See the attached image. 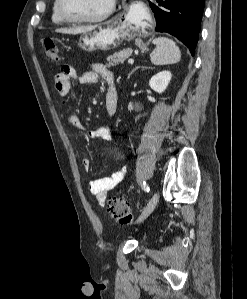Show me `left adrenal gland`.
Wrapping results in <instances>:
<instances>
[{"mask_svg":"<svg viewBox=\"0 0 247 299\" xmlns=\"http://www.w3.org/2000/svg\"><path fill=\"white\" fill-rule=\"evenodd\" d=\"M139 68H145V67H140V66H137L135 67L129 74H128V78H130V76Z\"/></svg>","mask_w":247,"mask_h":299,"instance_id":"left-adrenal-gland-1","label":"left adrenal gland"}]
</instances>
